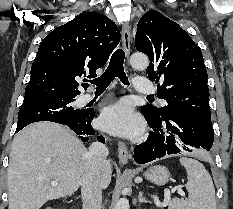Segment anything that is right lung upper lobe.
Returning <instances> with one entry per match:
<instances>
[{"label":"right lung upper lobe","instance_id":"cb5924a9","mask_svg":"<svg viewBox=\"0 0 233 209\" xmlns=\"http://www.w3.org/2000/svg\"><path fill=\"white\" fill-rule=\"evenodd\" d=\"M120 41L116 24L105 15L83 12L57 27L40 43L23 103L75 98V79L96 76Z\"/></svg>","mask_w":233,"mask_h":209}]
</instances>
